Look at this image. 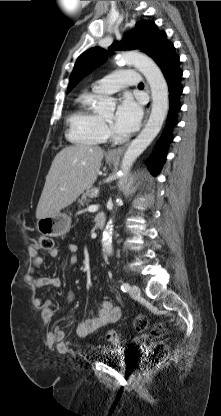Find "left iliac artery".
<instances>
[{"instance_id": "obj_1", "label": "left iliac artery", "mask_w": 221, "mask_h": 416, "mask_svg": "<svg viewBox=\"0 0 221 416\" xmlns=\"http://www.w3.org/2000/svg\"><path fill=\"white\" fill-rule=\"evenodd\" d=\"M129 289H130V285H129L128 283H123V284L121 285V290H122L123 292H127V291H129Z\"/></svg>"}]
</instances>
